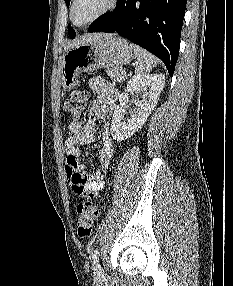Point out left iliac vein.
<instances>
[{
  "label": "left iliac vein",
  "instance_id": "1",
  "mask_svg": "<svg viewBox=\"0 0 233 286\" xmlns=\"http://www.w3.org/2000/svg\"><path fill=\"white\" fill-rule=\"evenodd\" d=\"M94 276L96 279H101L104 276V271L101 265L98 263L96 264V267H95Z\"/></svg>",
  "mask_w": 233,
  "mask_h": 286
}]
</instances>
